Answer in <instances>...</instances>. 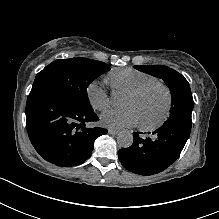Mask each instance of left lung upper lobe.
<instances>
[{"instance_id":"left-lung-upper-lobe-1","label":"left lung upper lobe","mask_w":219,"mask_h":219,"mask_svg":"<svg viewBox=\"0 0 219 219\" xmlns=\"http://www.w3.org/2000/svg\"><path fill=\"white\" fill-rule=\"evenodd\" d=\"M134 68L163 79L170 89L171 114L166 122L180 121L191 124L194 101L189 83L180 73L162 65H136Z\"/></svg>"}]
</instances>
